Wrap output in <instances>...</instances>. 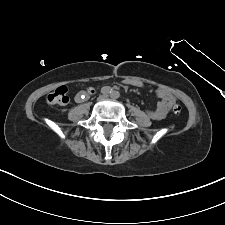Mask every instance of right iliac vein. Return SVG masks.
Instances as JSON below:
<instances>
[{"mask_svg":"<svg viewBox=\"0 0 225 225\" xmlns=\"http://www.w3.org/2000/svg\"><path fill=\"white\" fill-rule=\"evenodd\" d=\"M102 99H103V97H99V98H98V100H102Z\"/></svg>","mask_w":225,"mask_h":225,"instance_id":"right-iliac-vein-1","label":"right iliac vein"}]
</instances>
